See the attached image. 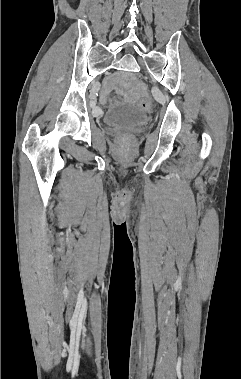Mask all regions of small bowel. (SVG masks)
Returning a JSON list of instances; mask_svg holds the SVG:
<instances>
[{"label":"small bowel","instance_id":"c3829d8e","mask_svg":"<svg viewBox=\"0 0 241 379\" xmlns=\"http://www.w3.org/2000/svg\"><path fill=\"white\" fill-rule=\"evenodd\" d=\"M113 89V82L112 81H106L100 91L99 94V101L101 104H106L108 101V95ZM125 99L128 102H136L137 101V96L135 95H125Z\"/></svg>","mask_w":241,"mask_h":379}]
</instances>
